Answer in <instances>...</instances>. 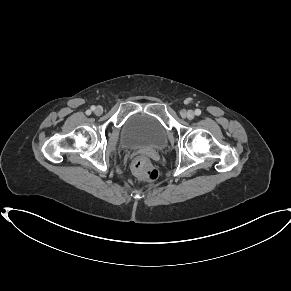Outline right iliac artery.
I'll use <instances>...</instances> for the list:
<instances>
[{
	"label": "right iliac artery",
	"mask_w": 291,
	"mask_h": 291,
	"mask_svg": "<svg viewBox=\"0 0 291 291\" xmlns=\"http://www.w3.org/2000/svg\"><path fill=\"white\" fill-rule=\"evenodd\" d=\"M91 109H92V110H94V109H95V107H94V106H92V107H91ZM90 113H91V111H89V110H88V111H86V114H87V115H90Z\"/></svg>",
	"instance_id": "right-iliac-artery-1"
}]
</instances>
